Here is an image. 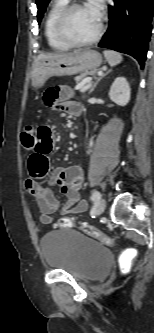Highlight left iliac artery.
<instances>
[{"instance_id": "44dca946", "label": "left iliac artery", "mask_w": 154, "mask_h": 333, "mask_svg": "<svg viewBox=\"0 0 154 333\" xmlns=\"http://www.w3.org/2000/svg\"><path fill=\"white\" fill-rule=\"evenodd\" d=\"M100 198H101V194L99 191H94L92 193V196H91L92 201L98 202L100 200Z\"/></svg>"}]
</instances>
